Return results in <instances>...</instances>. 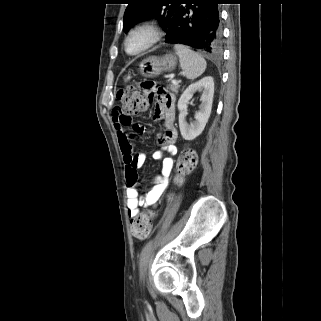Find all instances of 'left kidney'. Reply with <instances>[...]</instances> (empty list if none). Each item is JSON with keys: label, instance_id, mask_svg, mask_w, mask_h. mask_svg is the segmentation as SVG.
I'll return each instance as SVG.
<instances>
[{"label": "left kidney", "instance_id": "left-kidney-1", "mask_svg": "<svg viewBox=\"0 0 321 321\" xmlns=\"http://www.w3.org/2000/svg\"><path fill=\"white\" fill-rule=\"evenodd\" d=\"M196 91L202 92L200 99L202 103L200 105V110L195 114L196 121L188 124L185 119L187 115V104ZM213 95L214 80L211 76L204 77L200 81L189 85L181 95L178 101L179 128L181 135L185 140L191 141L195 139L204 130L211 114Z\"/></svg>", "mask_w": 321, "mask_h": 321}]
</instances>
